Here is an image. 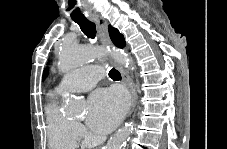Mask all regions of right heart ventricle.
<instances>
[{
    "instance_id": "right-heart-ventricle-1",
    "label": "right heart ventricle",
    "mask_w": 227,
    "mask_h": 149,
    "mask_svg": "<svg viewBox=\"0 0 227 149\" xmlns=\"http://www.w3.org/2000/svg\"><path fill=\"white\" fill-rule=\"evenodd\" d=\"M45 114L49 146L53 149L75 148L79 135L77 125L61 112L55 94H50Z\"/></svg>"
}]
</instances>
